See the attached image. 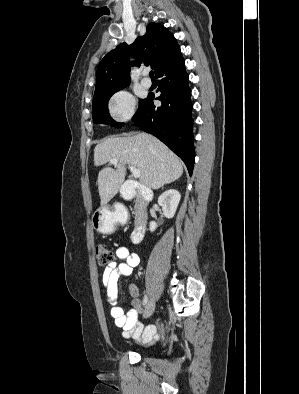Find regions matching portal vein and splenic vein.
<instances>
[{
    "mask_svg": "<svg viewBox=\"0 0 299 394\" xmlns=\"http://www.w3.org/2000/svg\"><path fill=\"white\" fill-rule=\"evenodd\" d=\"M110 162H111L112 164H117V163H118V160H117V159H111ZM129 169H130V171L132 172V174H133V176H134L135 178H139V177H140L141 171H140L139 169H137V168L134 167V166H130Z\"/></svg>",
    "mask_w": 299,
    "mask_h": 394,
    "instance_id": "1",
    "label": "portal vein and splenic vein"
}]
</instances>
